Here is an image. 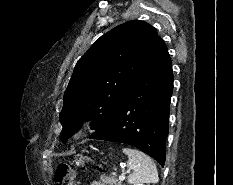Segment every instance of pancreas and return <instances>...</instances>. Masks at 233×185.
I'll return each mask as SVG.
<instances>
[{
  "mask_svg": "<svg viewBox=\"0 0 233 185\" xmlns=\"http://www.w3.org/2000/svg\"><path fill=\"white\" fill-rule=\"evenodd\" d=\"M100 181L102 182V185H123L121 181H118L113 176L108 177V176L102 175L100 177Z\"/></svg>",
  "mask_w": 233,
  "mask_h": 185,
  "instance_id": "pancreas-1",
  "label": "pancreas"
}]
</instances>
